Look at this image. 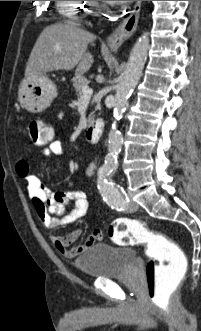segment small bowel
Here are the masks:
<instances>
[{
  "mask_svg": "<svg viewBox=\"0 0 201 331\" xmlns=\"http://www.w3.org/2000/svg\"><path fill=\"white\" fill-rule=\"evenodd\" d=\"M42 154L47 157L63 156L65 155V147L61 141L53 140L43 149ZM95 167L96 161L91 162L86 169V174L92 176ZM16 172L26 183L36 213L47 229L52 230L72 224L85 215L88 201L83 191L71 189L52 192L36 175L30 172V165L27 160L17 162ZM68 206L69 210L66 211ZM80 236L81 230L76 229L65 235H53L52 242L62 256L73 259L103 239L102 232L95 230L85 242L71 247Z\"/></svg>",
  "mask_w": 201,
  "mask_h": 331,
  "instance_id": "small-bowel-1",
  "label": "small bowel"
}]
</instances>
